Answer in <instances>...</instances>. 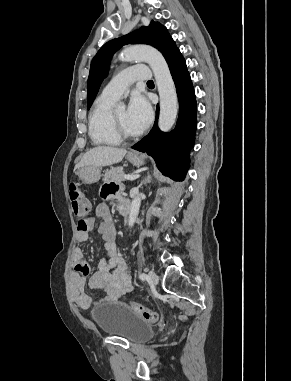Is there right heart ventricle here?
I'll use <instances>...</instances> for the list:
<instances>
[{
	"label": "right heart ventricle",
	"instance_id": "e07e8e85",
	"mask_svg": "<svg viewBox=\"0 0 291 381\" xmlns=\"http://www.w3.org/2000/svg\"><path fill=\"white\" fill-rule=\"evenodd\" d=\"M115 101L99 96L90 110L88 134L95 146H116L121 143L111 127L110 117Z\"/></svg>",
	"mask_w": 291,
	"mask_h": 381
}]
</instances>
